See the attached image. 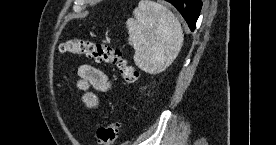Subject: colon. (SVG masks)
<instances>
[{"label":"colon","mask_w":276,"mask_h":145,"mask_svg":"<svg viewBox=\"0 0 276 145\" xmlns=\"http://www.w3.org/2000/svg\"><path fill=\"white\" fill-rule=\"evenodd\" d=\"M63 53L84 55L93 59L96 63L115 65L121 77L127 82H134L138 72L128 62L120 49L103 43H96L81 38H72L63 42L60 46ZM121 124L119 121H112L97 129V140L100 145H113L119 138Z\"/></svg>","instance_id":"1"}]
</instances>
